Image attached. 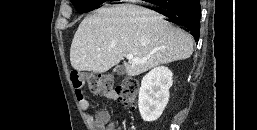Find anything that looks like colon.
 Masks as SVG:
<instances>
[{
  "instance_id": "colon-1",
  "label": "colon",
  "mask_w": 257,
  "mask_h": 130,
  "mask_svg": "<svg viewBox=\"0 0 257 130\" xmlns=\"http://www.w3.org/2000/svg\"><path fill=\"white\" fill-rule=\"evenodd\" d=\"M71 81L78 99L83 98V90L87 87L92 93L111 95L127 107L135 106L139 83L134 78H125L115 86L114 77L110 74L73 71Z\"/></svg>"
}]
</instances>
